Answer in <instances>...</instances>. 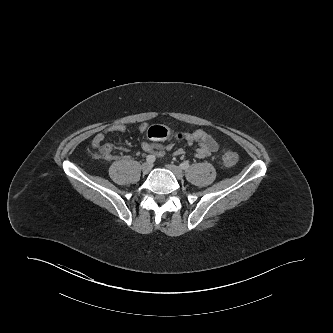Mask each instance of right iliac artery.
Segmentation results:
<instances>
[{
	"label": "right iliac artery",
	"instance_id": "obj_1",
	"mask_svg": "<svg viewBox=\"0 0 333 333\" xmlns=\"http://www.w3.org/2000/svg\"><path fill=\"white\" fill-rule=\"evenodd\" d=\"M155 160H156V158L153 155H148L146 157V161L149 162V163H153V162H155Z\"/></svg>",
	"mask_w": 333,
	"mask_h": 333
}]
</instances>
